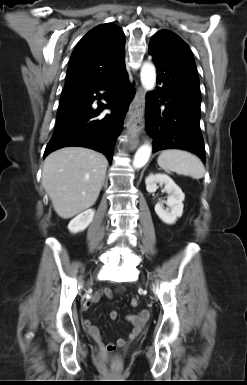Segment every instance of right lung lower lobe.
Returning <instances> with one entry per match:
<instances>
[{
  "instance_id": "obj_1",
  "label": "right lung lower lobe",
  "mask_w": 247,
  "mask_h": 385,
  "mask_svg": "<svg viewBox=\"0 0 247 385\" xmlns=\"http://www.w3.org/2000/svg\"><path fill=\"white\" fill-rule=\"evenodd\" d=\"M101 90L105 91V101L108 105L98 102V110H93V101L102 98L99 93ZM133 96L134 90L131 89L124 67L107 82L96 85L81 96L60 105L55 130L47 144L44 157L62 147L81 146L102 152L111 162L114 144ZM106 108H110L112 114L103 119H95L100 114V109Z\"/></svg>"
}]
</instances>
